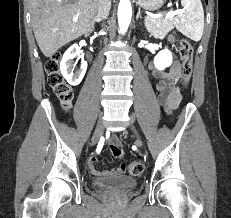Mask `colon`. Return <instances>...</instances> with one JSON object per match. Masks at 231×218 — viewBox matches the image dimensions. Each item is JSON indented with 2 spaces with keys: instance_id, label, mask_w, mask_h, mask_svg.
Masks as SVG:
<instances>
[{
  "instance_id": "5ec220e1",
  "label": "colon",
  "mask_w": 231,
  "mask_h": 218,
  "mask_svg": "<svg viewBox=\"0 0 231 218\" xmlns=\"http://www.w3.org/2000/svg\"><path fill=\"white\" fill-rule=\"evenodd\" d=\"M179 55L182 60L181 72L182 83L184 86L188 85L192 74L193 68V47L188 39L182 38L179 43ZM60 54L53 55L45 64V70L48 75V82L53 88L54 92L60 99L64 109H69L71 100L73 98V92L70 86L64 81L60 70ZM109 150L115 158H121L124 154L123 149L117 144H110ZM128 173L137 176L141 174L143 166L138 161H132L129 163H123Z\"/></svg>"
}]
</instances>
